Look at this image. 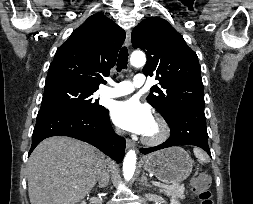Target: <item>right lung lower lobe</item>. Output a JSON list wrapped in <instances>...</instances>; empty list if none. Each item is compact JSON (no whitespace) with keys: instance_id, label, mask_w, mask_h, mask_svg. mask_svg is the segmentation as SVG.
<instances>
[{"instance_id":"1","label":"right lung lower lobe","mask_w":253,"mask_h":204,"mask_svg":"<svg viewBox=\"0 0 253 204\" xmlns=\"http://www.w3.org/2000/svg\"><path fill=\"white\" fill-rule=\"evenodd\" d=\"M58 135L85 141L115 161L123 160L125 139L114 132L107 109L97 116L69 110L39 111L29 155L43 139Z\"/></svg>"}]
</instances>
